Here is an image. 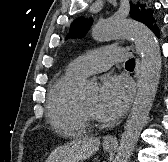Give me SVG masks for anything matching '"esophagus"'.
<instances>
[{
  "mask_svg": "<svg viewBox=\"0 0 168 162\" xmlns=\"http://www.w3.org/2000/svg\"><path fill=\"white\" fill-rule=\"evenodd\" d=\"M141 73V60L139 58L136 59V68H135V74H136V81L137 84L139 82V77ZM117 137L116 136H107L104 139V143L107 145H115L117 144Z\"/></svg>",
  "mask_w": 168,
  "mask_h": 162,
  "instance_id": "1",
  "label": "esophagus"
}]
</instances>
